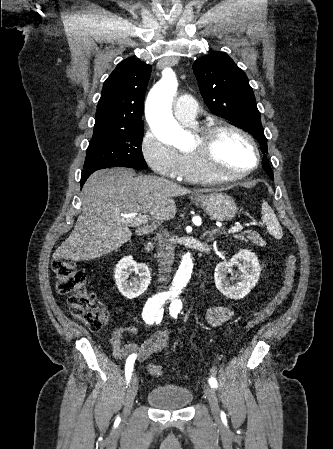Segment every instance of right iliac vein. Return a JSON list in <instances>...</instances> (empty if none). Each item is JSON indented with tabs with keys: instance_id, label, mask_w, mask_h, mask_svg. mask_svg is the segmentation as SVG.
I'll return each mask as SVG.
<instances>
[{
	"instance_id": "right-iliac-vein-1",
	"label": "right iliac vein",
	"mask_w": 333,
	"mask_h": 449,
	"mask_svg": "<svg viewBox=\"0 0 333 449\" xmlns=\"http://www.w3.org/2000/svg\"><path fill=\"white\" fill-rule=\"evenodd\" d=\"M137 391H138V379H137L136 375L133 374L127 394H126V398H125L124 420H126L128 415L130 414Z\"/></svg>"
}]
</instances>
